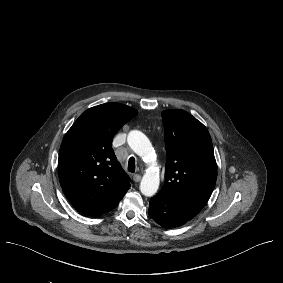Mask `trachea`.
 I'll return each mask as SVG.
<instances>
[{"mask_svg":"<svg viewBox=\"0 0 283 283\" xmlns=\"http://www.w3.org/2000/svg\"><path fill=\"white\" fill-rule=\"evenodd\" d=\"M128 171L132 173L135 172V158L134 157H130L128 161Z\"/></svg>","mask_w":283,"mask_h":283,"instance_id":"1","label":"trachea"}]
</instances>
